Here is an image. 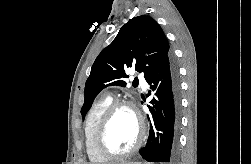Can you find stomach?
I'll return each instance as SVG.
<instances>
[{
  "mask_svg": "<svg viewBox=\"0 0 251 164\" xmlns=\"http://www.w3.org/2000/svg\"><path fill=\"white\" fill-rule=\"evenodd\" d=\"M120 164H141L140 162H122Z\"/></svg>",
  "mask_w": 251,
  "mask_h": 164,
  "instance_id": "stomach-1",
  "label": "stomach"
}]
</instances>
